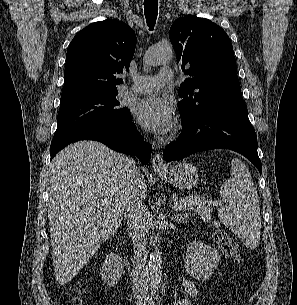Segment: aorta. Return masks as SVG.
<instances>
[{
  "label": "aorta",
  "instance_id": "aorta-1",
  "mask_svg": "<svg viewBox=\"0 0 297 305\" xmlns=\"http://www.w3.org/2000/svg\"><path fill=\"white\" fill-rule=\"evenodd\" d=\"M173 57V50L169 45H159L149 49L145 56L146 65L155 66L170 61ZM162 276V259L158 247L150 254L148 262V281L152 292L158 290Z\"/></svg>",
  "mask_w": 297,
  "mask_h": 305
}]
</instances>
